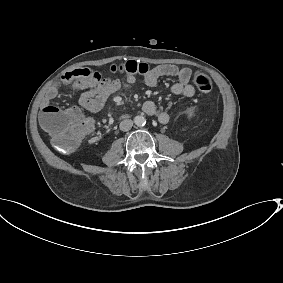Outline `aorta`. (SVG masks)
Here are the masks:
<instances>
[{
    "label": "aorta",
    "instance_id": "aorta-1",
    "mask_svg": "<svg viewBox=\"0 0 283 283\" xmlns=\"http://www.w3.org/2000/svg\"><path fill=\"white\" fill-rule=\"evenodd\" d=\"M134 123L137 125V126H144L146 124V119L145 117L143 116H136L134 118Z\"/></svg>",
    "mask_w": 283,
    "mask_h": 283
}]
</instances>
